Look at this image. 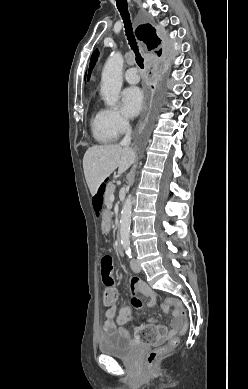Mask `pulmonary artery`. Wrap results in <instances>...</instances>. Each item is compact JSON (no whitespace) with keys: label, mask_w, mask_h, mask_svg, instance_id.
<instances>
[{"label":"pulmonary artery","mask_w":248,"mask_h":389,"mask_svg":"<svg viewBox=\"0 0 248 389\" xmlns=\"http://www.w3.org/2000/svg\"><path fill=\"white\" fill-rule=\"evenodd\" d=\"M124 78L125 80L130 83V84H135V83H138L139 80H140V77L137 73V69L136 68H129L125 74H124Z\"/></svg>","instance_id":"e3ab8cb5"}]
</instances>
